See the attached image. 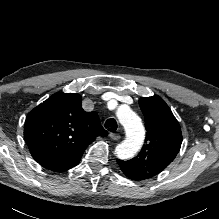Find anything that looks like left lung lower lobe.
<instances>
[{
  "instance_id": "0a47b994",
  "label": "left lung lower lobe",
  "mask_w": 219,
  "mask_h": 219,
  "mask_svg": "<svg viewBox=\"0 0 219 219\" xmlns=\"http://www.w3.org/2000/svg\"><path fill=\"white\" fill-rule=\"evenodd\" d=\"M127 177H129L130 179H132V180H138V178L137 177H135V176H133V174H131V173H129V172H126V173H124Z\"/></svg>"
}]
</instances>
